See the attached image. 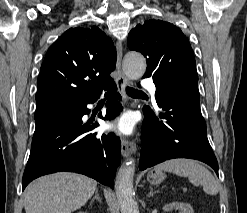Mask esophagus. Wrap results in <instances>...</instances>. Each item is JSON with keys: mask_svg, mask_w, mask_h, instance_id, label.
<instances>
[{"mask_svg": "<svg viewBox=\"0 0 247 213\" xmlns=\"http://www.w3.org/2000/svg\"><path fill=\"white\" fill-rule=\"evenodd\" d=\"M116 50H117L116 84H117L119 93L123 96L124 99H126L125 87L129 84V81L124 75L122 68H121V61H122L123 53H122V44L120 42L116 43ZM135 151H136V144L133 141H129L127 139L122 140L121 153L123 157H128L129 155L133 154Z\"/></svg>", "mask_w": 247, "mask_h": 213, "instance_id": "obj_1", "label": "esophagus"}]
</instances>
